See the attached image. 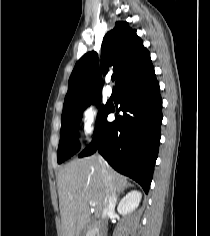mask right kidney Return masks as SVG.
<instances>
[{"label": "right kidney", "mask_w": 210, "mask_h": 236, "mask_svg": "<svg viewBox=\"0 0 210 236\" xmlns=\"http://www.w3.org/2000/svg\"><path fill=\"white\" fill-rule=\"evenodd\" d=\"M141 198L142 194L139 191L133 190L129 192L120 201L117 208L118 212L122 215H127L128 213L132 212L138 207Z\"/></svg>", "instance_id": "ca27d5eb"}]
</instances>
